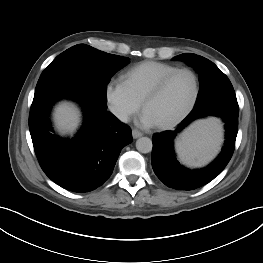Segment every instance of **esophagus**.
<instances>
[{
	"label": "esophagus",
	"mask_w": 263,
	"mask_h": 263,
	"mask_svg": "<svg viewBox=\"0 0 263 263\" xmlns=\"http://www.w3.org/2000/svg\"><path fill=\"white\" fill-rule=\"evenodd\" d=\"M142 135L143 134L140 131H138L137 129L132 130V136L134 139H137V138L141 137Z\"/></svg>",
	"instance_id": "esophagus-1"
}]
</instances>
